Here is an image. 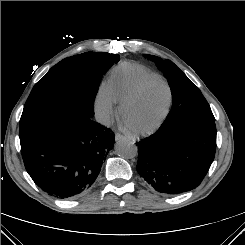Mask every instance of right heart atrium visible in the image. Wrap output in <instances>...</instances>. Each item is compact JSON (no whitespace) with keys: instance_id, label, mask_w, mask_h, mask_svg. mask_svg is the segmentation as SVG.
<instances>
[{"instance_id":"d8ad5b80","label":"right heart atrium","mask_w":245,"mask_h":245,"mask_svg":"<svg viewBox=\"0 0 245 245\" xmlns=\"http://www.w3.org/2000/svg\"><path fill=\"white\" fill-rule=\"evenodd\" d=\"M94 108L97 117L104 124H109L117 115L116 101L105 83H102L98 89Z\"/></svg>"}]
</instances>
